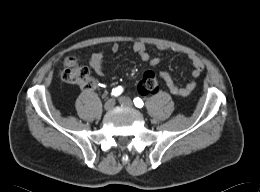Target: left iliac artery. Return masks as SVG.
Segmentation results:
<instances>
[{
  "label": "left iliac artery",
  "mask_w": 260,
  "mask_h": 192,
  "mask_svg": "<svg viewBox=\"0 0 260 192\" xmlns=\"http://www.w3.org/2000/svg\"><path fill=\"white\" fill-rule=\"evenodd\" d=\"M134 104H135V106L138 107V108H141V107H143V105H144L143 101H142L139 97H136V98L134 99Z\"/></svg>",
  "instance_id": "44dca946"
}]
</instances>
